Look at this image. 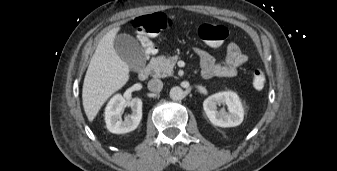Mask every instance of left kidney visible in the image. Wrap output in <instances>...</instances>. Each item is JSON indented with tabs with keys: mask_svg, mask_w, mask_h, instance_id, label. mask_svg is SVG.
Masks as SVG:
<instances>
[{
	"mask_svg": "<svg viewBox=\"0 0 337 171\" xmlns=\"http://www.w3.org/2000/svg\"><path fill=\"white\" fill-rule=\"evenodd\" d=\"M226 105L228 112L224 108L217 110V105ZM203 109L212 124L219 127H235L242 123L244 109L242 103L235 92L224 91L209 96L203 102Z\"/></svg>",
	"mask_w": 337,
	"mask_h": 171,
	"instance_id": "1",
	"label": "left kidney"
}]
</instances>
